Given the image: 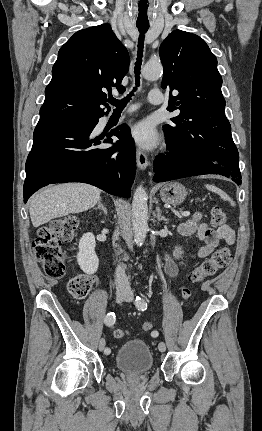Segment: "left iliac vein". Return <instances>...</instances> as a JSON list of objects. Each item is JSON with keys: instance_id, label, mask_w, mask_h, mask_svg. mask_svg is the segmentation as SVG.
<instances>
[{"instance_id": "4c4485c4", "label": "left iliac vein", "mask_w": 262, "mask_h": 431, "mask_svg": "<svg viewBox=\"0 0 262 431\" xmlns=\"http://www.w3.org/2000/svg\"><path fill=\"white\" fill-rule=\"evenodd\" d=\"M132 299H133V297H132V295L131 294H129V295H127V297L125 298V301H127V302H131L132 301ZM158 349H159V351L160 352H165V350H166V345H165V343L164 342H160L159 343V345H158Z\"/></svg>"}]
</instances>
